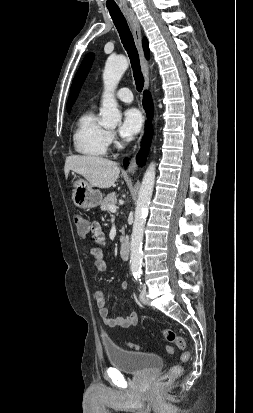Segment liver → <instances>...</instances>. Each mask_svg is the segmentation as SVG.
Returning <instances> with one entry per match:
<instances>
[{
  "mask_svg": "<svg viewBox=\"0 0 253 413\" xmlns=\"http://www.w3.org/2000/svg\"><path fill=\"white\" fill-rule=\"evenodd\" d=\"M82 175L92 186L110 188L117 180L120 169L116 162L96 156H69L65 160L64 172Z\"/></svg>",
  "mask_w": 253,
  "mask_h": 413,
  "instance_id": "6515ba94",
  "label": "liver"
}]
</instances>
